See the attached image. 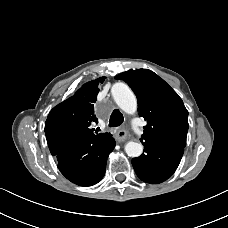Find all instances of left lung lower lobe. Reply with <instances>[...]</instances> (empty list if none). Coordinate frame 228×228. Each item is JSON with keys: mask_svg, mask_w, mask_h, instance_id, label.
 Instances as JSON below:
<instances>
[{"mask_svg": "<svg viewBox=\"0 0 228 228\" xmlns=\"http://www.w3.org/2000/svg\"><path fill=\"white\" fill-rule=\"evenodd\" d=\"M144 153L132 159L137 176L144 182L157 184L167 180L177 169L183 147L166 141H141Z\"/></svg>", "mask_w": 228, "mask_h": 228, "instance_id": "obj_1", "label": "left lung lower lobe"}]
</instances>
